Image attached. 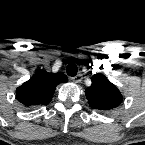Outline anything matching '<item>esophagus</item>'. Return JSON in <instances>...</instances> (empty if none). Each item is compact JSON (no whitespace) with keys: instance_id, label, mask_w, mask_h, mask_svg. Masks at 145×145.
<instances>
[{"instance_id":"obj_1","label":"esophagus","mask_w":145,"mask_h":145,"mask_svg":"<svg viewBox=\"0 0 145 145\" xmlns=\"http://www.w3.org/2000/svg\"><path fill=\"white\" fill-rule=\"evenodd\" d=\"M71 79H72L73 82L79 83V82H81V80H82V74L79 73V74H77L76 76L72 77Z\"/></svg>"}]
</instances>
